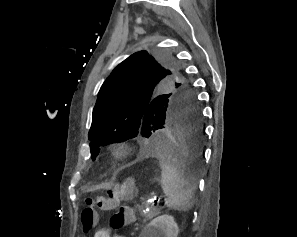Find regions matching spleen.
I'll use <instances>...</instances> for the list:
<instances>
[{"label":"spleen","mask_w":297,"mask_h":237,"mask_svg":"<svg viewBox=\"0 0 297 237\" xmlns=\"http://www.w3.org/2000/svg\"><path fill=\"white\" fill-rule=\"evenodd\" d=\"M161 187L166 195L168 208L186 212L193 205L194 185L187 179L178 167H173L171 161L160 160Z\"/></svg>","instance_id":"3e777b00"}]
</instances>
